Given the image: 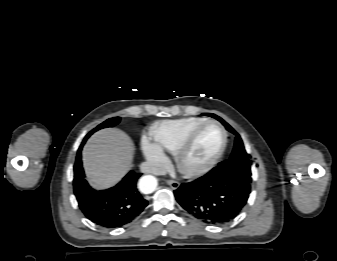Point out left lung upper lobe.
Masks as SVG:
<instances>
[{
  "label": "left lung upper lobe",
  "instance_id": "5c2ea615",
  "mask_svg": "<svg viewBox=\"0 0 337 261\" xmlns=\"http://www.w3.org/2000/svg\"><path fill=\"white\" fill-rule=\"evenodd\" d=\"M211 116H213V117L217 118L219 121H221L229 131H231L232 133H234L236 135L235 145H234V149H233V152L231 154V157L228 160H225V161L219 163V165L217 167H215V169H217V170H227L251 187L252 178H251V169H250L251 162L249 160L250 155H248L246 153L243 142H242V139L221 118H219V117H217L213 114H211Z\"/></svg>",
  "mask_w": 337,
  "mask_h": 261
}]
</instances>
